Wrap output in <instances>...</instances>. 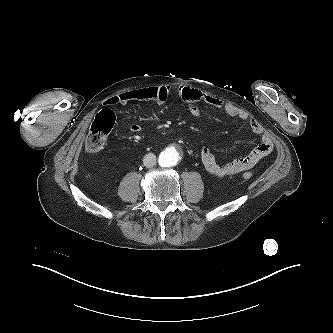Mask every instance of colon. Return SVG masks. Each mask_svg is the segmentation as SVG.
Here are the masks:
<instances>
[{
	"mask_svg": "<svg viewBox=\"0 0 333 333\" xmlns=\"http://www.w3.org/2000/svg\"><path fill=\"white\" fill-rule=\"evenodd\" d=\"M115 122V115L109 109L100 111L90 126L86 139V150L90 154L99 153L105 146L106 139ZM244 180L252 178V173L245 172L242 175Z\"/></svg>",
	"mask_w": 333,
	"mask_h": 333,
	"instance_id": "obj_1",
	"label": "colon"
}]
</instances>
